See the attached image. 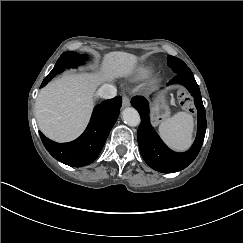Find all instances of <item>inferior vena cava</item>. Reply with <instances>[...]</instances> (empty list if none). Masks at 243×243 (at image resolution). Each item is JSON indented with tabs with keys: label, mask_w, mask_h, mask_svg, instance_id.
Returning a JSON list of instances; mask_svg holds the SVG:
<instances>
[{
	"label": "inferior vena cava",
	"mask_w": 243,
	"mask_h": 243,
	"mask_svg": "<svg viewBox=\"0 0 243 243\" xmlns=\"http://www.w3.org/2000/svg\"><path fill=\"white\" fill-rule=\"evenodd\" d=\"M98 94L104 99H112L117 95V89L112 84H103L99 88Z\"/></svg>",
	"instance_id": "inferior-vena-cava-1"
}]
</instances>
